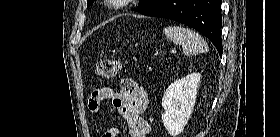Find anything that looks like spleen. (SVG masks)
Wrapping results in <instances>:
<instances>
[{
  "label": "spleen",
  "instance_id": "3e777b00",
  "mask_svg": "<svg viewBox=\"0 0 280 137\" xmlns=\"http://www.w3.org/2000/svg\"><path fill=\"white\" fill-rule=\"evenodd\" d=\"M163 34L174 44L182 45L184 55H196L208 51V45L201 35L195 31L181 27L168 26Z\"/></svg>",
  "mask_w": 280,
  "mask_h": 137
}]
</instances>
